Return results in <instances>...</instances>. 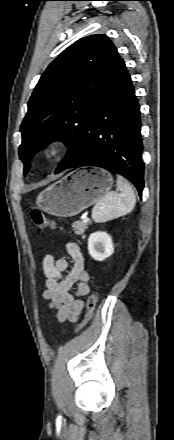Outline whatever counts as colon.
Returning a JSON list of instances; mask_svg holds the SVG:
<instances>
[{"label":"colon","mask_w":174,"mask_h":440,"mask_svg":"<svg viewBox=\"0 0 174 440\" xmlns=\"http://www.w3.org/2000/svg\"><path fill=\"white\" fill-rule=\"evenodd\" d=\"M30 216H31V220H32L33 224L38 229H46V228L55 229L56 228L55 221L52 218H50L49 216H46L45 214H43L40 211L33 210L31 212ZM97 298H98V292L97 291H93L88 296V299H87V312H86V315H85V319L77 327L76 332L81 331L91 321V319H92V317L94 315Z\"/></svg>","instance_id":"5ec220e1"}]
</instances>
